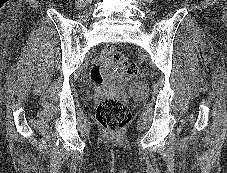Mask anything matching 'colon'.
Listing matches in <instances>:
<instances>
[{
	"label": "colon",
	"instance_id": "1",
	"mask_svg": "<svg viewBox=\"0 0 227 173\" xmlns=\"http://www.w3.org/2000/svg\"><path fill=\"white\" fill-rule=\"evenodd\" d=\"M104 56L123 69L130 78H136L140 74L137 64L130 62L120 54L113 46H107L103 52ZM91 80L96 85H103L106 77L100 64L95 65L90 73ZM96 118L99 124L109 132L117 133L125 128L131 119L128 106L117 97L102 98L96 108Z\"/></svg>",
	"mask_w": 227,
	"mask_h": 173
}]
</instances>
